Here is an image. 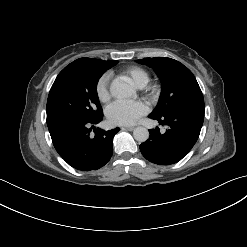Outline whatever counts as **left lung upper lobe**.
<instances>
[{
    "mask_svg": "<svg viewBox=\"0 0 247 247\" xmlns=\"http://www.w3.org/2000/svg\"><path fill=\"white\" fill-rule=\"evenodd\" d=\"M154 69L162 83L159 103L149 115L162 118L180 110H205L201 89L192 72L182 63L171 58H144L137 60Z\"/></svg>",
    "mask_w": 247,
    "mask_h": 247,
    "instance_id": "1",
    "label": "left lung upper lobe"
}]
</instances>
